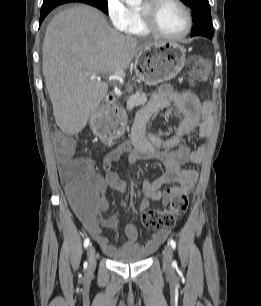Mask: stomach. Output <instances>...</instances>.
<instances>
[{
    "label": "stomach",
    "mask_w": 261,
    "mask_h": 306,
    "mask_svg": "<svg viewBox=\"0 0 261 306\" xmlns=\"http://www.w3.org/2000/svg\"><path fill=\"white\" fill-rule=\"evenodd\" d=\"M185 48L177 42L164 41L141 50L135 61L137 76L148 85L173 79L184 67ZM99 112L92 114L90 126L95 135L103 137Z\"/></svg>",
    "instance_id": "stomach-1"
}]
</instances>
